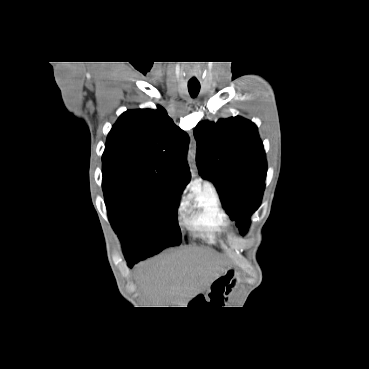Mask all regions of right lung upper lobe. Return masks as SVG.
<instances>
[{
	"label": "right lung upper lobe",
	"mask_w": 369,
	"mask_h": 369,
	"mask_svg": "<svg viewBox=\"0 0 369 369\" xmlns=\"http://www.w3.org/2000/svg\"><path fill=\"white\" fill-rule=\"evenodd\" d=\"M188 143V135L163 107L128 110L108 134L102 173L132 176L150 188L171 192L179 202L190 180Z\"/></svg>",
	"instance_id": "obj_1"
}]
</instances>
